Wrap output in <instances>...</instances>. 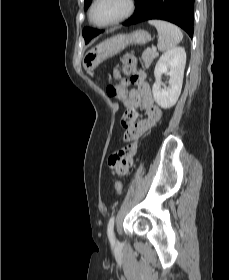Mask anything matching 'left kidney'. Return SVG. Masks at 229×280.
<instances>
[{
    "label": "left kidney",
    "mask_w": 229,
    "mask_h": 280,
    "mask_svg": "<svg viewBox=\"0 0 229 280\" xmlns=\"http://www.w3.org/2000/svg\"><path fill=\"white\" fill-rule=\"evenodd\" d=\"M186 64V52L183 47H174L159 58L154 76L156 81L152 87L155 102L163 109H169L177 102L183 83L184 69ZM169 75V86L161 87L162 74Z\"/></svg>",
    "instance_id": "left-kidney-1"
}]
</instances>
